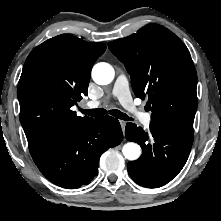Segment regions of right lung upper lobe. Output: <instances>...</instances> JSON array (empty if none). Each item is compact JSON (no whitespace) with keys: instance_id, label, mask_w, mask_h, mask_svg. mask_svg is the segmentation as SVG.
<instances>
[{"instance_id":"right-lung-upper-lobe-1","label":"right lung upper lobe","mask_w":221,"mask_h":221,"mask_svg":"<svg viewBox=\"0 0 221 221\" xmlns=\"http://www.w3.org/2000/svg\"><path fill=\"white\" fill-rule=\"evenodd\" d=\"M106 49L62 34L36 47L27 57L18 83L20 122L31 155L59 134L90 117H78L71 107L87 95L91 69Z\"/></svg>"}]
</instances>
